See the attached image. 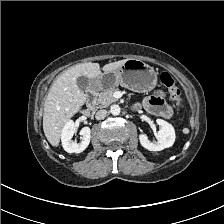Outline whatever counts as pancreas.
<instances>
[{
	"instance_id": "pancreas-1",
	"label": "pancreas",
	"mask_w": 224,
	"mask_h": 224,
	"mask_svg": "<svg viewBox=\"0 0 224 224\" xmlns=\"http://www.w3.org/2000/svg\"><path fill=\"white\" fill-rule=\"evenodd\" d=\"M118 90L117 86L106 89L100 93H98L95 97L94 103L99 108L108 107L111 103L117 101V99L113 96L114 92Z\"/></svg>"
}]
</instances>
